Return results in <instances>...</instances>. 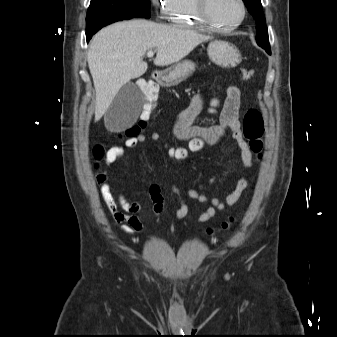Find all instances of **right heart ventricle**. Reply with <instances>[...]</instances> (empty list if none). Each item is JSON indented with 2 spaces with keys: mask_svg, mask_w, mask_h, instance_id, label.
Masks as SVG:
<instances>
[{
  "mask_svg": "<svg viewBox=\"0 0 337 337\" xmlns=\"http://www.w3.org/2000/svg\"><path fill=\"white\" fill-rule=\"evenodd\" d=\"M168 18L175 25L186 28L208 29L200 19L195 0H171Z\"/></svg>",
  "mask_w": 337,
  "mask_h": 337,
  "instance_id": "1",
  "label": "right heart ventricle"
}]
</instances>
